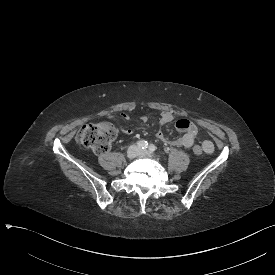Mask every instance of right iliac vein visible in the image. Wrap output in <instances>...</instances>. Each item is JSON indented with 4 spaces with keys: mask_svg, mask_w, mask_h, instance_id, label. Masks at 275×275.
Masks as SVG:
<instances>
[{
    "mask_svg": "<svg viewBox=\"0 0 275 275\" xmlns=\"http://www.w3.org/2000/svg\"><path fill=\"white\" fill-rule=\"evenodd\" d=\"M140 154V150L137 146L131 145L127 150V157L133 159Z\"/></svg>",
    "mask_w": 275,
    "mask_h": 275,
    "instance_id": "1",
    "label": "right iliac vein"
}]
</instances>
